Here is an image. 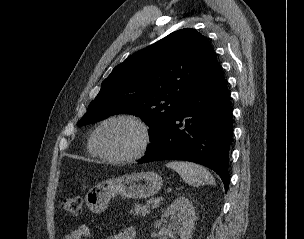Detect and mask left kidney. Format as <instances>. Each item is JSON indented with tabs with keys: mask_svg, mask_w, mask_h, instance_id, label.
Segmentation results:
<instances>
[{
	"mask_svg": "<svg viewBox=\"0 0 304 239\" xmlns=\"http://www.w3.org/2000/svg\"><path fill=\"white\" fill-rule=\"evenodd\" d=\"M162 217H170L171 223L165 225L167 231H173L180 235L181 239H190L196 221V213L192 203L185 196L177 198L165 211ZM163 219L156 222L161 226Z\"/></svg>",
	"mask_w": 304,
	"mask_h": 239,
	"instance_id": "left-kidney-1",
	"label": "left kidney"
}]
</instances>
